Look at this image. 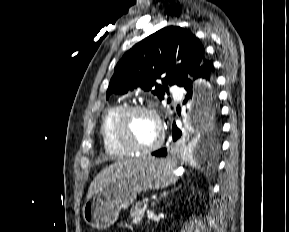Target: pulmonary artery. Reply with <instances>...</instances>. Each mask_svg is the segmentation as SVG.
I'll return each mask as SVG.
<instances>
[{
  "label": "pulmonary artery",
  "mask_w": 289,
  "mask_h": 232,
  "mask_svg": "<svg viewBox=\"0 0 289 232\" xmlns=\"http://www.w3.org/2000/svg\"><path fill=\"white\" fill-rule=\"evenodd\" d=\"M171 90L175 97L180 98L182 93L181 88H179L178 86H173Z\"/></svg>",
  "instance_id": "1"
}]
</instances>
